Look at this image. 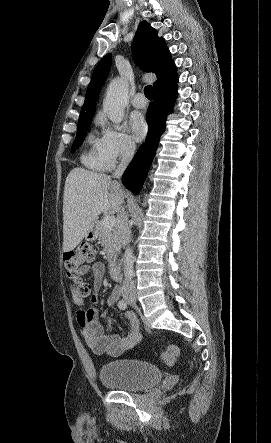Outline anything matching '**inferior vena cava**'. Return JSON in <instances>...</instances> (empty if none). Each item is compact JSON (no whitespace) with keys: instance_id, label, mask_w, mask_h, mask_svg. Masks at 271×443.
Segmentation results:
<instances>
[{"instance_id":"602c4592","label":"inferior vena cava","mask_w":271,"mask_h":443,"mask_svg":"<svg viewBox=\"0 0 271 443\" xmlns=\"http://www.w3.org/2000/svg\"><path fill=\"white\" fill-rule=\"evenodd\" d=\"M135 144L134 142H131V140H126V142H122L121 144V150H120V158L121 162L119 166H117V170L113 172L112 178H121L124 170H126L129 162H131L134 152H135ZM127 216L124 212L123 216H120V222L118 227V233L120 235L121 243L123 247L131 241V229L129 223H127ZM127 281H131V279H127ZM122 286V296H135L136 290L133 288L131 282L124 281Z\"/></svg>"}]
</instances>
